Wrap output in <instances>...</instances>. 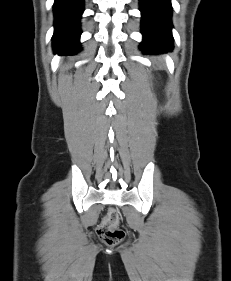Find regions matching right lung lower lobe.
I'll list each match as a JSON object with an SVG mask.
<instances>
[{
	"label": "right lung lower lobe",
	"instance_id": "obj_1",
	"mask_svg": "<svg viewBox=\"0 0 231 281\" xmlns=\"http://www.w3.org/2000/svg\"><path fill=\"white\" fill-rule=\"evenodd\" d=\"M83 12V0H55L54 51L61 54H76L80 51V16Z\"/></svg>",
	"mask_w": 231,
	"mask_h": 281
}]
</instances>
